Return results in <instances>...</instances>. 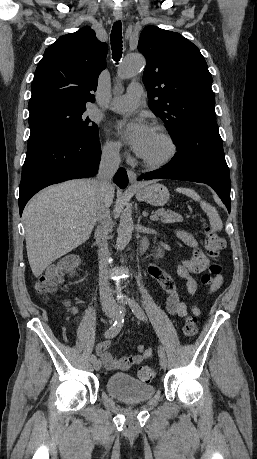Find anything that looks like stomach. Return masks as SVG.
<instances>
[{
	"label": "stomach",
	"mask_w": 257,
	"mask_h": 459,
	"mask_svg": "<svg viewBox=\"0 0 257 459\" xmlns=\"http://www.w3.org/2000/svg\"><path fill=\"white\" fill-rule=\"evenodd\" d=\"M137 199L146 203L161 206L169 200L168 189L159 183L146 185L136 190Z\"/></svg>",
	"instance_id": "1"
}]
</instances>
